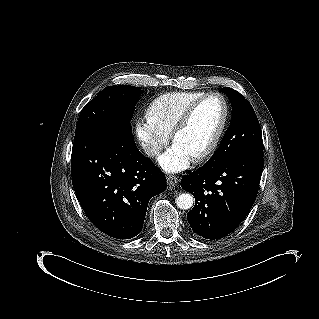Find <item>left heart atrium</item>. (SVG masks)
Returning <instances> with one entry per match:
<instances>
[{"label": "left heart atrium", "instance_id": "1", "mask_svg": "<svg viewBox=\"0 0 319 319\" xmlns=\"http://www.w3.org/2000/svg\"><path fill=\"white\" fill-rule=\"evenodd\" d=\"M192 161L193 153L179 143L170 147L158 160L161 168L169 173L186 169Z\"/></svg>", "mask_w": 319, "mask_h": 319}]
</instances>
